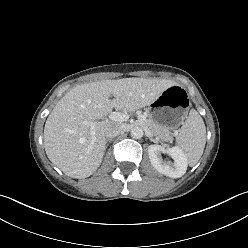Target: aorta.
I'll use <instances>...</instances> for the list:
<instances>
[{
  "label": "aorta",
  "mask_w": 248,
  "mask_h": 248,
  "mask_svg": "<svg viewBox=\"0 0 248 248\" xmlns=\"http://www.w3.org/2000/svg\"><path fill=\"white\" fill-rule=\"evenodd\" d=\"M143 134H144V131L141 127L136 126V127L132 128V130H131V137L134 139L142 138Z\"/></svg>",
  "instance_id": "1"
}]
</instances>
